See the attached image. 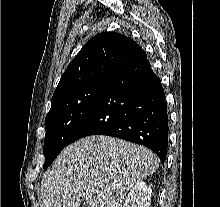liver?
I'll list each match as a JSON object with an SVG mask.
<instances>
[{
  "label": "liver",
  "instance_id": "1",
  "mask_svg": "<svg viewBox=\"0 0 220 207\" xmlns=\"http://www.w3.org/2000/svg\"><path fill=\"white\" fill-rule=\"evenodd\" d=\"M159 167L144 146L97 135L67 146L41 181L42 207H122L127 192ZM94 188V192L91 191Z\"/></svg>",
  "mask_w": 220,
  "mask_h": 207
}]
</instances>
